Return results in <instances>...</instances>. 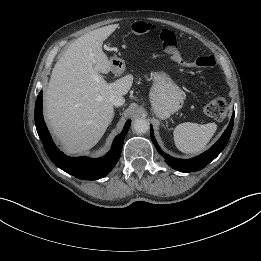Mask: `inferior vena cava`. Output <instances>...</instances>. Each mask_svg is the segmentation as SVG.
Instances as JSON below:
<instances>
[{"instance_id": "602c4592", "label": "inferior vena cava", "mask_w": 261, "mask_h": 261, "mask_svg": "<svg viewBox=\"0 0 261 261\" xmlns=\"http://www.w3.org/2000/svg\"><path fill=\"white\" fill-rule=\"evenodd\" d=\"M109 101L116 107L122 106L125 103V99L121 95H111Z\"/></svg>"}]
</instances>
